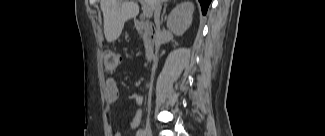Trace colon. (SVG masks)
Here are the masks:
<instances>
[{
	"label": "colon",
	"instance_id": "1",
	"mask_svg": "<svg viewBox=\"0 0 325 136\" xmlns=\"http://www.w3.org/2000/svg\"><path fill=\"white\" fill-rule=\"evenodd\" d=\"M103 63L107 73H114L121 63V55L113 49H107L103 53Z\"/></svg>",
	"mask_w": 325,
	"mask_h": 136
}]
</instances>
